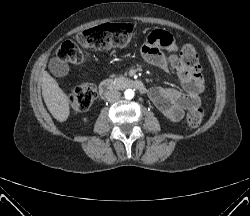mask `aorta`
Returning a JSON list of instances; mask_svg holds the SVG:
<instances>
[{"instance_id": "aorta-1", "label": "aorta", "mask_w": 250, "mask_h": 216, "mask_svg": "<svg viewBox=\"0 0 250 216\" xmlns=\"http://www.w3.org/2000/svg\"><path fill=\"white\" fill-rule=\"evenodd\" d=\"M124 96L126 99H132L134 97V91L132 89H127L124 92Z\"/></svg>"}]
</instances>
